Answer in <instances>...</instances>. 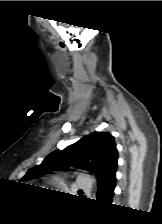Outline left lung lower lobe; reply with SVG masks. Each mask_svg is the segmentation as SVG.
Returning <instances> with one entry per match:
<instances>
[{
  "label": "left lung lower lobe",
  "instance_id": "left-lung-lower-lobe-1",
  "mask_svg": "<svg viewBox=\"0 0 162 224\" xmlns=\"http://www.w3.org/2000/svg\"><path fill=\"white\" fill-rule=\"evenodd\" d=\"M116 171L112 172L100 185H98L97 200L111 204L114 195Z\"/></svg>",
  "mask_w": 162,
  "mask_h": 224
}]
</instances>
